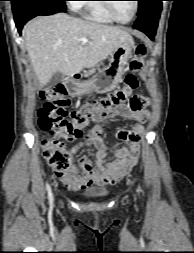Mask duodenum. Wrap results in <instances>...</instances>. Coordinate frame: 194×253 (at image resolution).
Returning <instances> with one entry per match:
<instances>
[{
  "label": "duodenum",
  "instance_id": "410a0bca",
  "mask_svg": "<svg viewBox=\"0 0 194 253\" xmlns=\"http://www.w3.org/2000/svg\"><path fill=\"white\" fill-rule=\"evenodd\" d=\"M78 78H82V73H73L72 76L68 77L66 79V82L67 83H71V81L75 80V79H78Z\"/></svg>",
  "mask_w": 194,
  "mask_h": 253
}]
</instances>
